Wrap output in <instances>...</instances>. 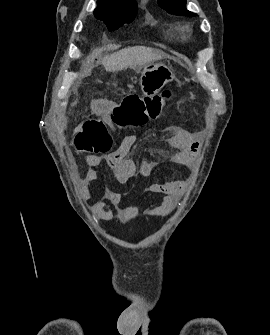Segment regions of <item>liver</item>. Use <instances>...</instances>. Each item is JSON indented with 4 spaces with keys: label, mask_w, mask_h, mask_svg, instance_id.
<instances>
[{
    "label": "liver",
    "mask_w": 270,
    "mask_h": 335,
    "mask_svg": "<svg viewBox=\"0 0 270 335\" xmlns=\"http://www.w3.org/2000/svg\"><path fill=\"white\" fill-rule=\"evenodd\" d=\"M165 56L164 52H154L152 48H145V46H134V48H123L119 52H114L102 60V64L107 72H116V70H124V68H138L160 60Z\"/></svg>",
    "instance_id": "1"
}]
</instances>
